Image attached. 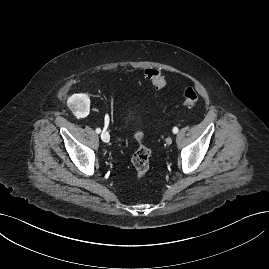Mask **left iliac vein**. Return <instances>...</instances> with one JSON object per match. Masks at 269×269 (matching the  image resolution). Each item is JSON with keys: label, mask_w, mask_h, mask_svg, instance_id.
<instances>
[{"label": "left iliac vein", "mask_w": 269, "mask_h": 269, "mask_svg": "<svg viewBox=\"0 0 269 269\" xmlns=\"http://www.w3.org/2000/svg\"><path fill=\"white\" fill-rule=\"evenodd\" d=\"M165 142H166L167 145H171L172 144V138L168 137Z\"/></svg>", "instance_id": "obj_1"}]
</instances>
